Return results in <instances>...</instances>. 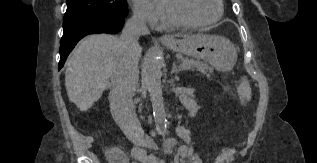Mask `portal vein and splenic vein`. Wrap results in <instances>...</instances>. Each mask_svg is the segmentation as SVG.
Masks as SVG:
<instances>
[{
  "label": "portal vein and splenic vein",
  "instance_id": "1",
  "mask_svg": "<svg viewBox=\"0 0 317 163\" xmlns=\"http://www.w3.org/2000/svg\"><path fill=\"white\" fill-rule=\"evenodd\" d=\"M180 67H181V69H186L184 66H181V65H180Z\"/></svg>",
  "mask_w": 317,
  "mask_h": 163
}]
</instances>
